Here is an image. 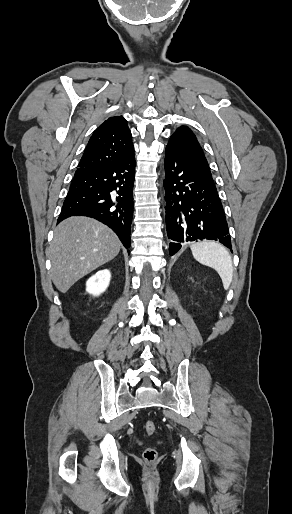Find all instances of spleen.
Instances as JSON below:
<instances>
[{"instance_id":"1","label":"spleen","mask_w":292,"mask_h":514,"mask_svg":"<svg viewBox=\"0 0 292 514\" xmlns=\"http://www.w3.org/2000/svg\"><path fill=\"white\" fill-rule=\"evenodd\" d=\"M191 252L197 262L218 272L225 290H228L233 280V266L226 248L216 242H196L192 244Z\"/></svg>"}]
</instances>
